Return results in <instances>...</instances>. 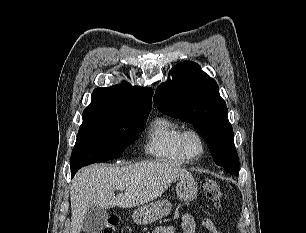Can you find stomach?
I'll return each instance as SVG.
<instances>
[{
    "label": "stomach",
    "instance_id": "obj_1",
    "mask_svg": "<svg viewBox=\"0 0 306 233\" xmlns=\"http://www.w3.org/2000/svg\"><path fill=\"white\" fill-rule=\"evenodd\" d=\"M177 196L182 201H192L197 197L198 187L193 177L181 178L176 185ZM172 204L167 199H159L148 203L134 211L132 218L135 223L147 225L167 216Z\"/></svg>",
    "mask_w": 306,
    "mask_h": 233
}]
</instances>
